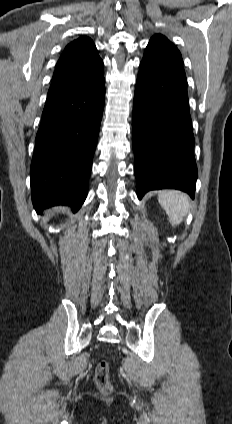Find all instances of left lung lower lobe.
Listing matches in <instances>:
<instances>
[{"label":"left lung lower lobe","mask_w":232,"mask_h":424,"mask_svg":"<svg viewBox=\"0 0 232 424\" xmlns=\"http://www.w3.org/2000/svg\"><path fill=\"white\" fill-rule=\"evenodd\" d=\"M132 134L138 198L163 188L179 189L194 198L195 140L182 65L140 63Z\"/></svg>","instance_id":"1"}]
</instances>
